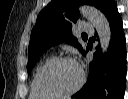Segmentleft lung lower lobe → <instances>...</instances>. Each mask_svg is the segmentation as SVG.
Here are the masks:
<instances>
[{
    "label": "left lung lower lobe",
    "instance_id": "left-lung-lower-lobe-1",
    "mask_svg": "<svg viewBox=\"0 0 128 99\" xmlns=\"http://www.w3.org/2000/svg\"><path fill=\"white\" fill-rule=\"evenodd\" d=\"M101 11L107 16L110 23L112 32L110 46L103 56L100 52V45L97 46L93 61L89 65L87 83L72 96L73 98L123 99L124 97L126 47L122 19L115 0H105Z\"/></svg>",
    "mask_w": 128,
    "mask_h": 99
}]
</instances>
